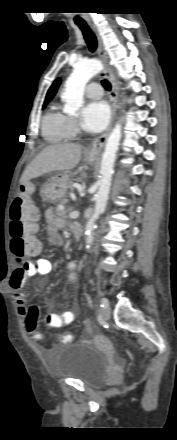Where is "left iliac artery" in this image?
I'll return each mask as SVG.
<instances>
[{"label": "left iliac artery", "instance_id": "1", "mask_svg": "<svg viewBox=\"0 0 177 440\" xmlns=\"http://www.w3.org/2000/svg\"><path fill=\"white\" fill-rule=\"evenodd\" d=\"M100 302H101L100 306L102 308H104L108 304V300L106 298H102Z\"/></svg>", "mask_w": 177, "mask_h": 440}]
</instances>
